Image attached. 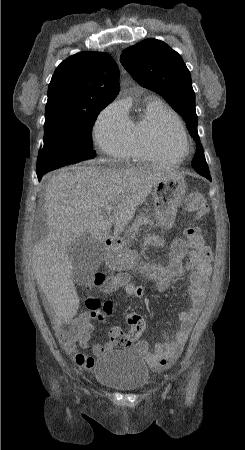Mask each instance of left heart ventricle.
I'll use <instances>...</instances> for the list:
<instances>
[{
  "label": "left heart ventricle",
  "mask_w": 245,
  "mask_h": 450,
  "mask_svg": "<svg viewBox=\"0 0 245 450\" xmlns=\"http://www.w3.org/2000/svg\"><path fill=\"white\" fill-rule=\"evenodd\" d=\"M156 132L175 153L183 154L186 151L183 138L170 120H161L156 126Z\"/></svg>",
  "instance_id": "b2bd125f"
}]
</instances>
